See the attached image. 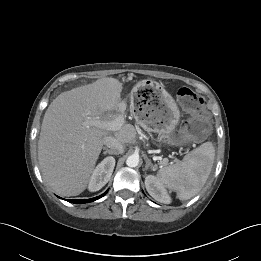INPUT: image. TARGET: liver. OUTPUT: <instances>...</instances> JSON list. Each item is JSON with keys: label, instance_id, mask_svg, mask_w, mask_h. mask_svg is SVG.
<instances>
[{"label": "liver", "instance_id": "1", "mask_svg": "<svg viewBox=\"0 0 261 261\" xmlns=\"http://www.w3.org/2000/svg\"><path fill=\"white\" fill-rule=\"evenodd\" d=\"M122 84L102 78L58 95L47 108L38 141V160L46 183L62 196H76L87 187L108 130L96 121L117 119ZM107 113V114H105ZM122 144L132 143L136 129L123 124L114 132Z\"/></svg>", "mask_w": 261, "mask_h": 261}]
</instances>
